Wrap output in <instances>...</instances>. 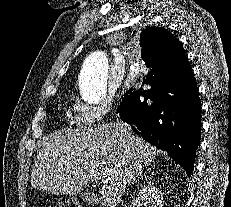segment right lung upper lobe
Wrapping results in <instances>:
<instances>
[{
    "instance_id": "cb5924a9",
    "label": "right lung upper lobe",
    "mask_w": 231,
    "mask_h": 207,
    "mask_svg": "<svg viewBox=\"0 0 231 207\" xmlns=\"http://www.w3.org/2000/svg\"><path fill=\"white\" fill-rule=\"evenodd\" d=\"M140 40L141 57L147 67L154 69L157 66L159 72L180 71L189 65L183 45L169 30L153 27L151 33Z\"/></svg>"
}]
</instances>
